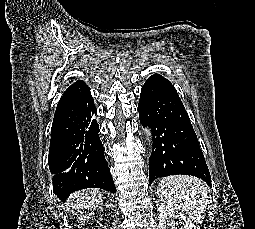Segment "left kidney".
I'll return each mask as SVG.
<instances>
[{"label": "left kidney", "mask_w": 255, "mask_h": 229, "mask_svg": "<svg viewBox=\"0 0 255 229\" xmlns=\"http://www.w3.org/2000/svg\"><path fill=\"white\" fill-rule=\"evenodd\" d=\"M157 212L160 229H177L175 227V221L172 219L179 220V224L181 225L180 229H196L195 225L189 218L169 205L161 204Z\"/></svg>", "instance_id": "left-kidney-1"}]
</instances>
